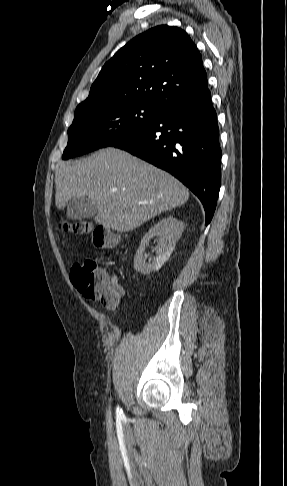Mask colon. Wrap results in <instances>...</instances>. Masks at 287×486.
Masks as SVG:
<instances>
[{"label": "colon", "instance_id": "5ec220e1", "mask_svg": "<svg viewBox=\"0 0 287 486\" xmlns=\"http://www.w3.org/2000/svg\"><path fill=\"white\" fill-rule=\"evenodd\" d=\"M65 229L78 234H89L97 248H112L117 244V235L100 225L87 221L65 223ZM70 278L75 286L86 298L99 301L112 307L120 302V296L112 285V279L95 259L88 258L73 265Z\"/></svg>", "mask_w": 287, "mask_h": 486}]
</instances>
